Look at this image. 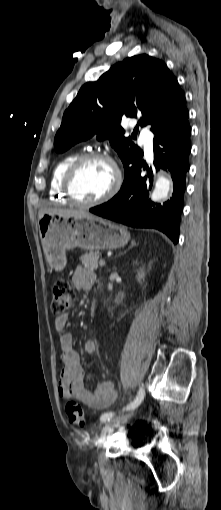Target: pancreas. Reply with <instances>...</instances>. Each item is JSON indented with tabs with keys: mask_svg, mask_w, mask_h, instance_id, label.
Instances as JSON below:
<instances>
[{
	"mask_svg": "<svg viewBox=\"0 0 221 510\" xmlns=\"http://www.w3.org/2000/svg\"><path fill=\"white\" fill-rule=\"evenodd\" d=\"M100 256V253L98 251L95 252H89L85 253L80 257V260L85 268L89 270H96L98 269V258Z\"/></svg>",
	"mask_w": 221,
	"mask_h": 510,
	"instance_id": "obj_1",
	"label": "pancreas"
}]
</instances>
